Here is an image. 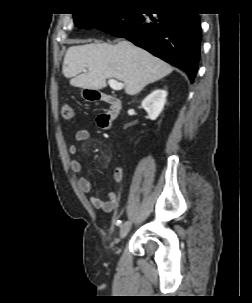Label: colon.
<instances>
[{
	"mask_svg": "<svg viewBox=\"0 0 252 303\" xmlns=\"http://www.w3.org/2000/svg\"><path fill=\"white\" fill-rule=\"evenodd\" d=\"M60 115L64 120H72L74 117L73 107L69 103L63 104L60 110Z\"/></svg>",
	"mask_w": 252,
	"mask_h": 303,
	"instance_id": "colon-1",
	"label": "colon"
}]
</instances>
